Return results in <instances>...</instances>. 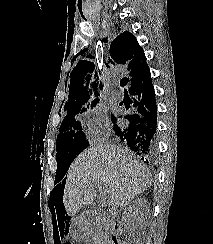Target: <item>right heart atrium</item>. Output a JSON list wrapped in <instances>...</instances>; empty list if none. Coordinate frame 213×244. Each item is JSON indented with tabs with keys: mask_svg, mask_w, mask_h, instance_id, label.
I'll return each mask as SVG.
<instances>
[{
	"mask_svg": "<svg viewBox=\"0 0 213 244\" xmlns=\"http://www.w3.org/2000/svg\"><path fill=\"white\" fill-rule=\"evenodd\" d=\"M85 134L89 139L98 140L104 138L108 129L105 124L104 114L99 107L88 109L82 117Z\"/></svg>",
	"mask_w": 213,
	"mask_h": 244,
	"instance_id": "obj_1",
	"label": "right heart atrium"
}]
</instances>
